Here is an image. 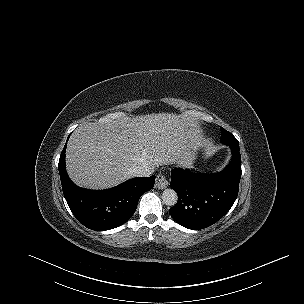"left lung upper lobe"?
<instances>
[{"instance_id": "left-lung-upper-lobe-1", "label": "left lung upper lobe", "mask_w": 304, "mask_h": 304, "mask_svg": "<svg viewBox=\"0 0 304 304\" xmlns=\"http://www.w3.org/2000/svg\"><path fill=\"white\" fill-rule=\"evenodd\" d=\"M221 141L224 144H239L237 139L228 131H226L224 128L221 127Z\"/></svg>"}]
</instances>
